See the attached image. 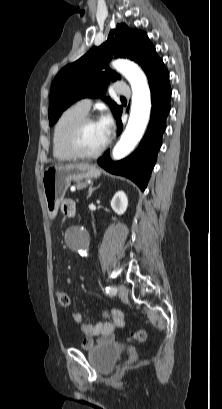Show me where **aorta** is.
<instances>
[{
	"label": "aorta",
	"mask_w": 222,
	"mask_h": 409,
	"mask_svg": "<svg viewBox=\"0 0 222 409\" xmlns=\"http://www.w3.org/2000/svg\"><path fill=\"white\" fill-rule=\"evenodd\" d=\"M113 67L129 81L132 88L128 124L112 151V158L120 160L134 150L145 133L150 118L151 96L147 78L136 64L127 60H117L113 62ZM73 235L76 239L74 248L80 253L83 252L86 240L85 230L82 227H76Z\"/></svg>",
	"instance_id": "1"
}]
</instances>
